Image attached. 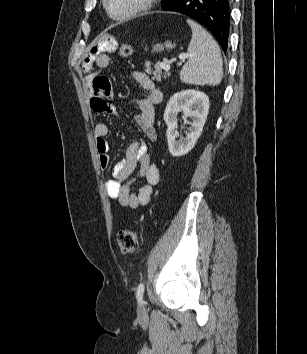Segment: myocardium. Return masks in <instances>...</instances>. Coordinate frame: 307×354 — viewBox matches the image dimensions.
Segmentation results:
<instances>
[{
  "label": "myocardium",
  "instance_id": "f54148a6",
  "mask_svg": "<svg viewBox=\"0 0 307 354\" xmlns=\"http://www.w3.org/2000/svg\"><path fill=\"white\" fill-rule=\"evenodd\" d=\"M156 0H140L131 10H129L126 13L115 15L111 12L110 6H109V0H103L104 8L107 13V15L116 21H124L128 20L132 17H135L136 15L143 13L147 10H149Z\"/></svg>",
  "mask_w": 307,
  "mask_h": 354
}]
</instances>
